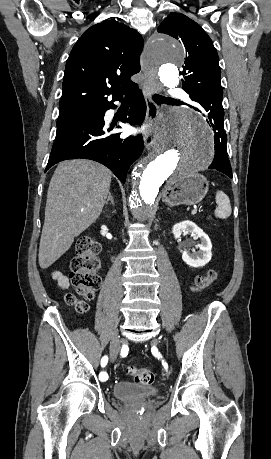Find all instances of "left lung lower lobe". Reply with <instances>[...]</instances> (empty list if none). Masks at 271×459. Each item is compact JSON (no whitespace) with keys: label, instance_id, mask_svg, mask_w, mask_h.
<instances>
[{"label":"left lung lower lobe","instance_id":"obj_1","mask_svg":"<svg viewBox=\"0 0 271 459\" xmlns=\"http://www.w3.org/2000/svg\"><path fill=\"white\" fill-rule=\"evenodd\" d=\"M205 98V96H202L198 99L192 100L201 104L203 107ZM198 111L201 112L200 110ZM205 111L208 118L207 123L210 125L214 132L215 143V158L208 168L216 169L232 178L231 165L227 156V135L223 127L224 113H218L217 111L210 110Z\"/></svg>","mask_w":271,"mask_h":459}]
</instances>
